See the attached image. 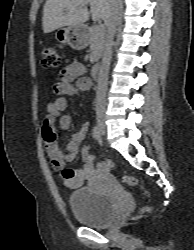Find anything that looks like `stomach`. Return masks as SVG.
I'll list each match as a JSON object with an SVG mask.
<instances>
[{
  "label": "stomach",
  "mask_w": 194,
  "mask_h": 250,
  "mask_svg": "<svg viewBox=\"0 0 194 250\" xmlns=\"http://www.w3.org/2000/svg\"><path fill=\"white\" fill-rule=\"evenodd\" d=\"M56 40L61 44H68L74 49H83L87 45L86 29L83 25L68 26L55 34Z\"/></svg>",
  "instance_id": "obj_1"
}]
</instances>
